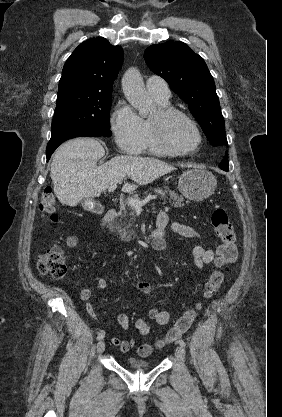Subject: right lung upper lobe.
Wrapping results in <instances>:
<instances>
[{"mask_svg":"<svg viewBox=\"0 0 282 417\" xmlns=\"http://www.w3.org/2000/svg\"><path fill=\"white\" fill-rule=\"evenodd\" d=\"M123 62L121 46L102 37L81 43L67 59L58 93L72 91L112 92Z\"/></svg>","mask_w":282,"mask_h":417,"instance_id":"right-lung-upper-lobe-1","label":"right lung upper lobe"}]
</instances>
